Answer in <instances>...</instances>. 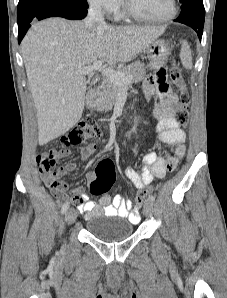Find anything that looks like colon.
<instances>
[{"label": "colon", "mask_w": 227, "mask_h": 298, "mask_svg": "<svg viewBox=\"0 0 227 298\" xmlns=\"http://www.w3.org/2000/svg\"><path fill=\"white\" fill-rule=\"evenodd\" d=\"M169 76L174 85L181 90V107L175 114V119L179 125L185 126L189 121L188 106L190 103L189 94L184 90L183 79L178 67L172 66L169 69ZM103 134L98 123L93 119H88L79 123L71 131L61 137L62 146H75L86 141L101 137ZM95 176L90 182V191L94 195H103L110 190L115 180V169L112 161L104 159L100 161L94 172ZM55 183L53 182V185ZM153 191L152 187H146L140 191L136 198V204L140 205L146 196ZM56 196L62 198L59 193Z\"/></svg>", "instance_id": "colon-1"}]
</instances>
